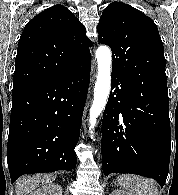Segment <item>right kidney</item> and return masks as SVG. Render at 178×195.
<instances>
[{
	"label": "right kidney",
	"mask_w": 178,
	"mask_h": 195,
	"mask_svg": "<svg viewBox=\"0 0 178 195\" xmlns=\"http://www.w3.org/2000/svg\"><path fill=\"white\" fill-rule=\"evenodd\" d=\"M30 195H62V188L58 184H45Z\"/></svg>",
	"instance_id": "ca27d5eb"
}]
</instances>
